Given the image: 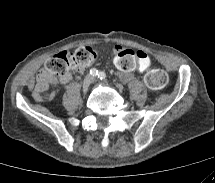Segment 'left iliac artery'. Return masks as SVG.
I'll return each instance as SVG.
<instances>
[{
  "label": "left iliac artery",
  "instance_id": "1",
  "mask_svg": "<svg viewBox=\"0 0 215 183\" xmlns=\"http://www.w3.org/2000/svg\"><path fill=\"white\" fill-rule=\"evenodd\" d=\"M98 77L102 80V79H105L106 78V74H105V72H103V71H99V73H98Z\"/></svg>",
  "mask_w": 215,
  "mask_h": 183
}]
</instances>
